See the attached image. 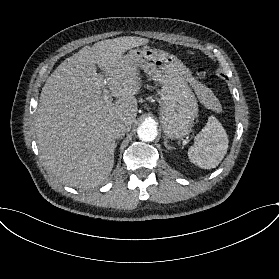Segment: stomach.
Listing matches in <instances>:
<instances>
[{
  "label": "stomach",
  "instance_id": "obj_1",
  "mask_svg": "<svg viewBox=\"0 0 279 279\" xmlns=\"http://www.w3.org/2000/svg\"><path fill=\"white\" fill-rule=\"evenodd\" d=\"M138 67L161 84L160 122L169 139L188 135L198 115L197 98L190 87L191 72L175 55L144 46L129 52Z\"/></svg>",
  "mask_w": 279,
  "mask_h": 279
}]
</instances>
